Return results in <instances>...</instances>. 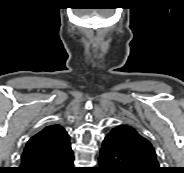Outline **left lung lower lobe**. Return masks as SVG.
I'll use <instances>...</instances> for the list:
<instances>
[{
    "mask_svg": "<svg viewBox=\"0 0 184 173\" xmlns=\"http://www.w3.org/2000/svg\"><path fill=\"white\" fill-rule=\"evenodd\" d=\"M99 164V173H141L133 166L128 156L118 148L112 134H108L102 142Z\"/></svg>",
    "mask_w": 184,
    "mask_h": 173,
    "instance_id": "obj_1",
    "label": "left lung lower lobe"
}]
</instances>
